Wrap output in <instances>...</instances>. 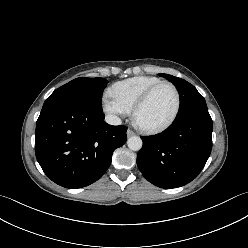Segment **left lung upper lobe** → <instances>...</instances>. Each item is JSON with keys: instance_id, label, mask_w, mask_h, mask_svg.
Listing matches in <instances>:
<instances>
[{"instance_id": "left-lung-upper-lobe-1", "label": "left lung upper lobe", "mask_w": 248, "mask_h": 248, "mask_svg": "<svg viewBox=\"0 0 248 248\" xmlns=\"http://www.w3.org/2000/svg\"><path fill=\"white\" fill-rule=\"evenodd\" d=\"M172 82L177 88L180 96V109L178 116L185 114L191 109L206 104L205 99L200 95L196 88L184 79L168 74H160Z\"/></svg>"}]
</instances>
